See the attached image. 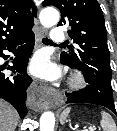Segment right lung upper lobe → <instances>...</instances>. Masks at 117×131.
Segmentation results:
<instances>
[{"label":"right lung upper lobe","instance_id":"1","mask_svg":"<svg viewBox=\"0 0 117 131\" xmlns=\"http://www.w3.org/2000/svg\"><path fill=\"white\" fill-rule=\"evenodd\" d=\"M31 0H0V48L31 33L35 10Z\"/></svg>","mask_w":117,"mask_h":131}]
</instances>
